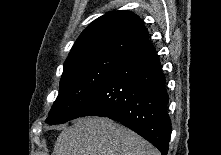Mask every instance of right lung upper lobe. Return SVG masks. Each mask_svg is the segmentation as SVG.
<instances>
[{"label": "right lung upper lobe", "mask_w": 221, "mask_h": 155, "mask_svg": "<svg viewBox=\"0 0 221 155\" xmlns=\"http://www.w3.org/2000/svg\"><path fill=\"white\" fill-rule=\"evenodd\" d=\"M149 34L140 18L129 11L109 12L93 21L73 45L64 67L103 53L125 56Z\"/></svg>", "instance_id": "1"}]
</instances>
